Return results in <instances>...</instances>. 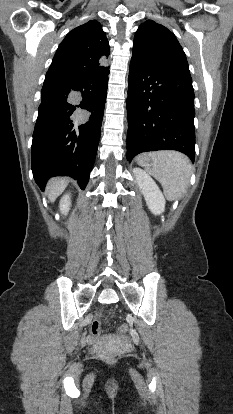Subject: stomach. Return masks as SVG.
I'll return each instance as SVG.
<instances>
[{
  "mask_svg": "<svg viewBox=\"0 0 233 414\" xmlns=\"http://www.w3.org/2000/svg\"><path fill=\"white\" fill-rule=\"evenodd\" d=\"M148 154H146V155H142V157H146Z\"/></svg>",
  "mask_w": 233,
  "mask_h": 414,
  "instance_id": "0dacf381",
  "label": "stomach"
}]
</instances>
